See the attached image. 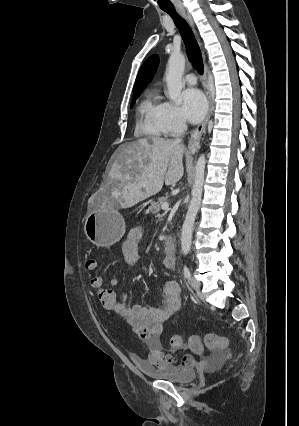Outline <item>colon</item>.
Masks as SVG:
<instances>
[{
    "label": "colon",
    "mask_w": 299,
    "mask_h": 426,
    "mask_svg": "<svg viewBox=\"0 0 299 426\" xmlns=\"http://www.w3.org/2000/svg\"><path fill=\"white\" fill-rule=\"evenodd\" d=\"M86 267L89 270H96L97 264L95 260H88ZM91 285L96 289V296L100 304L108 309L112 310L117 306L120 301V294L117 290L111 287L109 284L104 282L103 277L100 274L95 273L91 279ZM170 344L174 348L187 347L194 353H201L204 345L210 349H222L226 350L229 346V340L226 337H220L215 333H209L202 340L199 336H191L187 345L184 343V338L181 334H175L170 339ZM227 358H231V353L228 351L226 354Z\"/></svg>",
    "instance_id": "obj_1"
}]
</instances>
